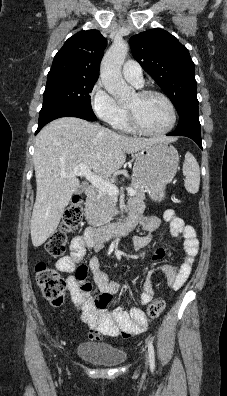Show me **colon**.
Wrapping results in <instances>:
<instances>
[{
	"label": "colon",
	"instance_id": "obj_1",
	"mask_svg": "<svg viewBox=\"0 0 227 396\" xmlns=\"http://www.w3.org/2000/svg\"><path fill=\"white\" fill-rule=\"evenodd\" d=\"M82 219L83 202L81 197L76 196L66 209L60 227L49 237L45 244V249L50 256L57 258L65 254L68 234L80 226ZM36 281L48 302L54 306L63 304L67 284L55 269L45 263H38L36 265ZM164 307L165 302L163 300L157 299L153 301L148 307L149 316H158Z\"/></svg>",
	"mask_w": 227,
	"mask_h": 396
}]
</instances>
